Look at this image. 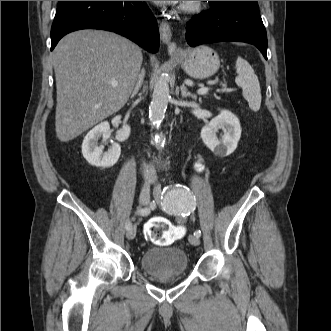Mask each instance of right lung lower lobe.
Masks as SVG:
<instances>
[{
	"label": "right lung lower lobe",
	"instance_id": "1",
	"mask_svg": "<svg viewBox=\"0 0 331 331\" xmlns=\"http://www.w3.org/2000/svg\"><path fill=\"white\" fill-rule=\"evenodd\" d=\"M80 29L112 31L149 52L159 49L156 18L143 1H59L51 28V50L64 35Z\"/></svg>",
	"mask_w": 331,
	"mask_h": 331
}]
</instances>
